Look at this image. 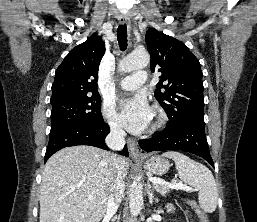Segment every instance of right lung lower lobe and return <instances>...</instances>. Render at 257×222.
<instances>
[{"instance_id":"1","label":"right lung lower lobe","mask_w":257,"mask_h":222,"mask_svg":"<svg viewBox=\"0 0 257 222\" xmlns=\"http://www.w3.org/2000/svg\"><path fill=\"white\" fill-rule=\"evenodd\" d=\"M110 132L107 123L97 126L68 125L50 131L49 143L46 149L45 162L58 150L76 145H90L102 149H108L105 138ZM124 156H129L127 147L120 152Z\"/></svg>"}]
</instances>
